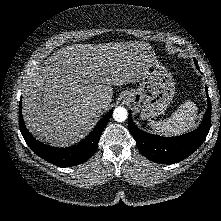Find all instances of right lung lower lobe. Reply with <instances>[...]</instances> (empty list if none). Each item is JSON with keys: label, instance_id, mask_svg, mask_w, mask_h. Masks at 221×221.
<instances>
[{"label": "right lung lower lobe", "instance_id": "98d812e1", "mask_svg": "<svg viewBox=\"0 0 221 221\" xmlns=\"http://www.w3.org/2000/svg\"><path fill=\"white\" fill-rule=\"evenodd\" d=\"M19 125L23 138L31 150L42 159L59 167H69L88 160L97 149L102 131L108 123L113 109L110 110L96 125L91 134L77 145L67 148L48 146L36 140L27 130L19 106Z\"/></svg>", "mask_w": 221, "mask_h": 221}]
</instances>
